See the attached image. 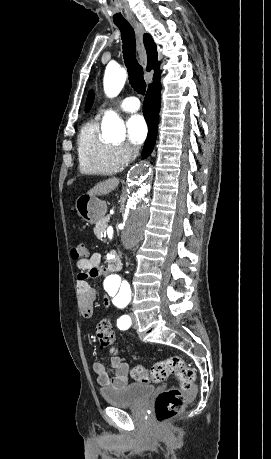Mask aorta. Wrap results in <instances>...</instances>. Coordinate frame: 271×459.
<instances>
[{"label":"aorta","instance_id":"762f6f07","mask_svg":"<svg viewBox=\"0 0 271 459\" xmlns=\"http://www.w3.org/2000/svg\"><path fill=\"white\" fill-rule=\"evenodd\" d=\"M125 81L126 73L123 68L106 69L103 82L106 95L109 97L117 96ZM102 134L111 140H121L124 137V124L115 112L109 111L103 117ZM151 181V165L146 162L134 165L127 174V182L119 201L122 217L121 241L127 250H131L142 240L151 216ZM103 286L111 294L118 290L129 289L128 283L116 273L107 275Z\"/></svg>","mask_w":271,"mask_h":459}]
</instances>
